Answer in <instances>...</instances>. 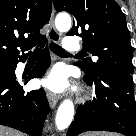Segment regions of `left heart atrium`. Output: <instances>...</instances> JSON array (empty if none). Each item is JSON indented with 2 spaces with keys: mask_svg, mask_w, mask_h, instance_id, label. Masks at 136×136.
<instances>
[{
  "mask_svg": "<svg viewBox=\"0 0 136 136\" xmlns=\"http://www.w3.org/2000/svg\"><path fill=\"white\" fill-rule=\"evenodd\" d=\"M66 83V75L62 70H55L50 74V76L44 81V84L54 90H61Z\"/></svg>",
  "mask_w": 136,
  "mask_h": 136,
  "instance_id": "left-heart-atrium-1",
  "label": "left heart atrium"
}]
</instances>
